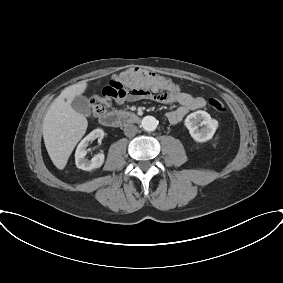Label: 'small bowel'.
<instances>
[{"mask_svg":"<svg viewBox=\"0 0 283 283\" xmlns=\"http://www.w3.org/2000/svg\"><path fill=\"white\" fill-rule=\"evenodd\" d=\"M161 103H177L179 106L166 114L168 121L171 124H177L183 120L187 113L191 110H196L205 106V100L202 97H195L187 92H184L180 86L171 81V88L166 92V95L154 94L149 97ZM141 99V97L127 95L117 99V103L132 102Z\"/></svg>","mask_w":283,"mask_h":283,"instance_id":"1","label":"small bowel"}]
</instances>
